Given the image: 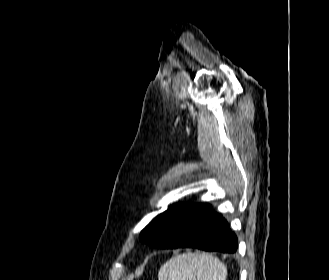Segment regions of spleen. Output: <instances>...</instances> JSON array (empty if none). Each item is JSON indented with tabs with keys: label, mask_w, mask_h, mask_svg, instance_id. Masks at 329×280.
Wrapping results in <instances>:
<instances>
[{
	"label": "spleen",
	"mask_w": 329,
	"mask_h": 280,
	"mask_svg": "<svg viewBox=\"0 0 329 280\" xmlns=\"http://www.w3.org/2000/svg\"><path fill=\"white\" fill-rule=\"evenodd\" d=\"M227 269L208 253H183L169 259L158 273V280H226Z\"/></svg>",
	"instance_id": "spleen-1"
}]
</instances>
